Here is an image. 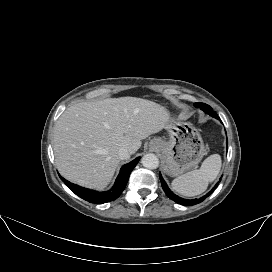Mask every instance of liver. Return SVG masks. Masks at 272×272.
Listing matches in <instances>:
<instances>
[{"label": "liver", "instance_id": "obj_1", "mask_svg": "<svg viewBox=\"0 0 272 272\" xmlns=\"http://www.w3.org/2000/svg\"><path fill=\"white\" fill-rule=\"evenodd\" d=\"M168 121L167 109L146 99L120 97L78 103L67 108L55 125L56 166L71 182L103 189L120 162L118 150L125 147L135 153L141 140L160 132Z\"/></svg>", "mask_w": 272, "mask_h": 272}]
</instances>
